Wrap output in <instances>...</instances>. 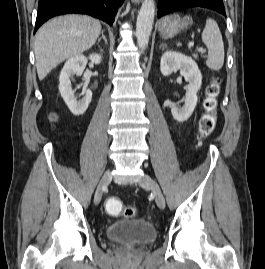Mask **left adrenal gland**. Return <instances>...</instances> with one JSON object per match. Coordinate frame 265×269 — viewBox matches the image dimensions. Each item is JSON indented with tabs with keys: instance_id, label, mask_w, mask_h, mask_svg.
Segmentation results:
<instances>
[{
	"instance_id": "a2214340",
	"label": "left adrenal gland",
	"mask_w": 265,
	"mask_h": 269,
	"mask_svg": "<svg viewBox=\"0 0 265 269\" xmlns=\"http://www.w3.org/2000/svg\"><path fill=\"white\" fill-rule=\"evenodd\" d=\"M166 47H167V45L164 44V43L160 45V48H162V49H164V48H166Z\"/></svg>"
}]
</instances>
